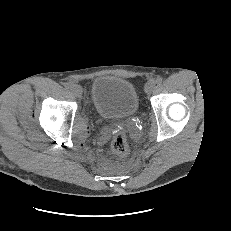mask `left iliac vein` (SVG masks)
I'll return each mask as SVG.
<instances>
[{
	"label": "left iliac vein",
	"mask_w": 231,
	"mask_h": 231,
	"mask_svg": "<svg viewBox=\"0 0 231 231\" xmlns=\"http://www.w3.org/2000/svg\"><path fill=\"white\" fill-rule=\"evenodd\" d=\"M155 88V82L150 80L145 84L144 91L146 94H151Z\"/></svg>",
	"instance_id": "obj_1"
}]
</instances>
